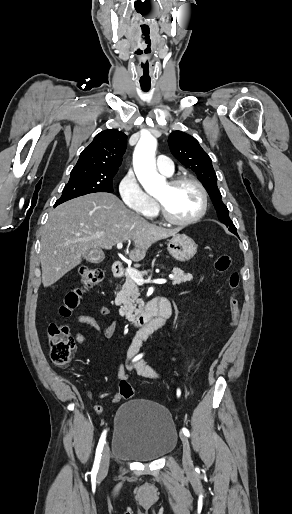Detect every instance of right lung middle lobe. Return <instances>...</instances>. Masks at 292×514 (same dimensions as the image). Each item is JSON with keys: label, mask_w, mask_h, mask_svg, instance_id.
<instances>
[{"label": "right lung middle lobe", "mask_w": 292, "mask_h": 514, "mask_svg": "<svg viewBox=\"0 0 292 514\" xmlns=\"http://www.w3.org/2000/svg\"><path fill=\"white\" fill-rule=\"evenodd\" d=\"M113 177L109 175L70 174L69 182L65 185L62 196L54 206L89 193H113Z\"/></svg>", "instance_id": "right-lung-middle-lobe-1"}]
</instances>
